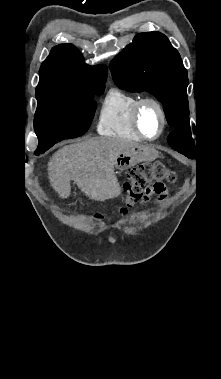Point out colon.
Listing matches in <instances>:
<instances>
[{
    "label": "colon",
    "mask_w": 221,
    "mask_h": 379,
    "mask_svg": "<svg viewBox=\"0 0 221 379\" xmlns=\"http://www.w3.org/2000/svg\"><path fill=\"white\" fill-rule=\"evenodd\" d=\"M176 179V173L160 162L142 163L131 168L124 183L125 196L119 210L120 214H127L137 202L152 193H164V183H174Z\"/></svg>",
    "instance_id": "5ec220e1"
}]
</instances>
